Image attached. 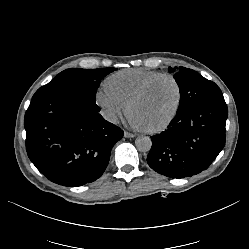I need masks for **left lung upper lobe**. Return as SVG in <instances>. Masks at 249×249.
<instances>
[{
	"label": "left lung upper lobe",
	"mask_w": 249,
	"mask_h": 249,
	"mask_svg": "<svg viewBox=\"0 0 249 249\" xmlns=\"http://www.w3.org/2000/svg\"><path fill=\"white\" fill-rule=\"evenodd\" d=\"M168 70L170 73L175 71L171 67ZM174 79L180 90L177 114L200 102L223 99L220 88L214 82L207 80L192 69L180 67L175 71Z\"/></svg>",
	"instance_id": "1"
}]
</instances>
